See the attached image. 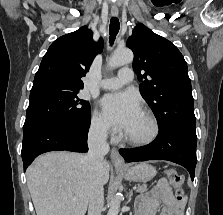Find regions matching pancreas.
Masks as SVG:
<instances>
[{"label": "pancreas", "mask_w": 223, "mask_h": 215, "mask_svg": "<svg viewBox=\"0 0 223 215\" xmlns=\"http://www.w3.org/2000/svg\"><path fill=\"white\" fill-rule=\"evenodd\" d=\"M148 187L146 185V183H142V185H140V187H138V189H136V191H147Z\"/></svg>", "instance_id": "obj_1"}]
</instances>
